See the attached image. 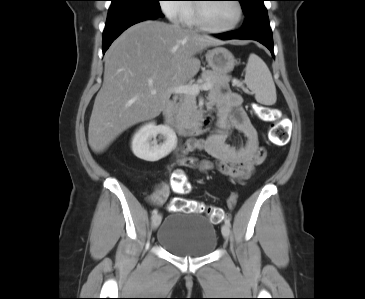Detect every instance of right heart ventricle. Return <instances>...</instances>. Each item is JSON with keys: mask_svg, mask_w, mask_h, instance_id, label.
Wrapping results in <instances>:
<instances>
[{"mask_svg": "<svg viewBox=\"0 0 365 299\" xmlns=\"http://www.w3.org/2000/svg\"><path fill=\"white\" fill-rule=\"evenodd\" d=\"M187 10L182 22L188 27H197L195 22L194 7L191 4H187Z\"/></svg>", "mask_w": 365, "mask_h": 299, "instance_id": "obj_1", "label": "right heart ventricle"}]
</instances>
